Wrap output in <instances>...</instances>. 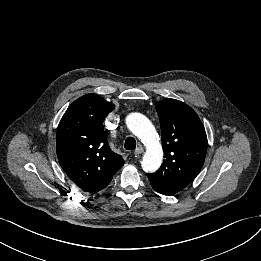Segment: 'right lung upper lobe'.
Returning <instances> with one entry per match:
<instances>
[{
  "mask_svg": "<svg viewBox=\"0 0 261 261\" xmlns=\"http://www.w3.org/2000/svg\"><path fill=\"white\" fill-rule=\"evenodd\" d=\"M114 104L96 94L75 100L64 113L56 135L59 163L68 177L84 192L96 193L111 182L123 166L114 153L103 128Z\"/></svg>",
  "mask_w": 261,
  "mask_h": 261,
  "instance_id": "1",
  "label": "right lung upper lobe"
}]
</instances>
